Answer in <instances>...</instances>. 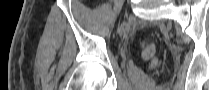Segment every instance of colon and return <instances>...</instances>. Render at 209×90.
Returning <instances> with one entry per match:
<instances>
[{"mask_svg":"<svg viewBox=\"0 0 209 90\" xmlns=\"http://www.w3.org/2000/svg\"><path fill=\"white\" fill-rule=\"evenodd\" d=\"M141 57L143 60L150 63L151 68H156L160 64L157 58V48L156 45L153 43H142Z\"/></svg>","mask_w":209,"mask_h":90,"instance_id":"1","label":"colon"}]
</instances>
